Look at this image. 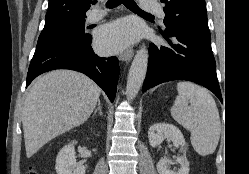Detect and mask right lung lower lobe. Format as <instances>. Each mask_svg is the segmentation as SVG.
<instances>
[{"instance_id": "98d812e1", "label": "right lung lower lobe", "mask_w": 249, "mask_h": 174, "mask_svg": "<svg viewBox=\"0 0 249 174\" xmlns=\"http://www.w3.org/2000/svg\"><path fill=\"white\" fill-rule=\"evenodd\" d=\"M91 39L92 37L86 40H65L36 48L29 66L26 87L44 72L71 69L94 80L105 91L110 101H113L119 77L118 59L97 56L91 47Z\"/></svg>"}]
</instances>
